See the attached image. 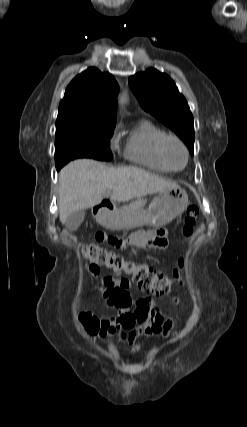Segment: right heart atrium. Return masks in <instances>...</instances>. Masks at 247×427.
<instances>
[{
  "instance_id": "right-heart-atrium-1",
  "label": "right heart atrium",
  "mask_w": 247,
  "mask_h": 427,
  "mask_svg": "<svg viewBox=\"0 0 247 427\" xmlns=\"http://www.w3.org/2000/svg\"><path fill=\"white\" fill-rule=\"evenodd\" d=\"M111 142H112V144H113V145H115V144H116V142H117V136H116V133L113 135V137H112V139H111Z\"/></svg>"
}]
</instances>
